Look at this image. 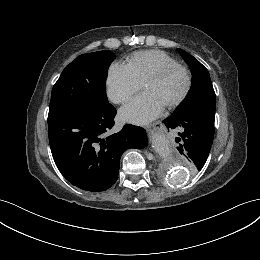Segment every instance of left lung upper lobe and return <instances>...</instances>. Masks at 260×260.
<instances>
[{
    "mask_svg": "<svg viewBox=\"0 0 260 260\" xmlns=\"http://www.w3.org/2000/svg\"><path fill=\"white\" fill-rule=\"evenodd\" d=\"M192 73V86L184 101L173 114L190 112L205 113L215 116L216 96L208 70L193 56L182 49H177Z\"/></svg>",
    "mask_w": 260,
    "mask_h": 260,
    "instance_id": "5c2ea615",
    "label": "left lung upper lobe"
}]
</instances>
